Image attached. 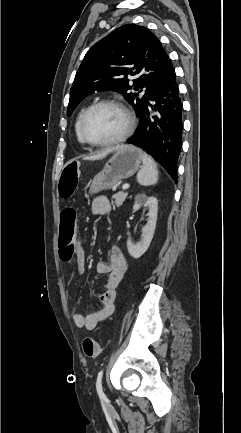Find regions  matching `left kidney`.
<instances>
[{"label": "left kidney", "instance_id": "1", "mask_svg": "<svg viewBox=\"0 0 241 433\" xmlns=\"http://www.w3.org/2000/svg\"><path fill=\"white\" fill-rule=\"evenodd\" d=\"M141 207L149 209L147 223L142 228V239L136 244L130 238L127 240L128 253L135 259L140 258L147 251L152 241L157 221L158 201L153 196L140 194L135 198L133 209L138 210Z\"/></svg>", "mask_w": 241, "mask_h": 433}]
</instances>
